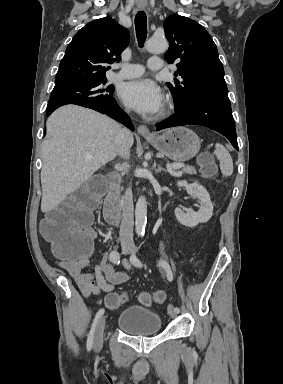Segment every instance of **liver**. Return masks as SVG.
Segmentation results:
<instances>
[{"mask_svg":"<svg viewBox=\"0 0 283 384\" xmlns=\"http://www.w3.org/2000/svg\"><path fill=\"white\" fill-rule=\"evenodd\" d=\"M42 144L41 212L54 210L101 166L118 156L115 138L119 124L80 106H62L48 118ZM133 146V136H128ZM91 154L93 158H87Z\"/></svg>","mask_w":283,"mask_h":384,"instance_id":"liver-1","label":"liver"}]
</instances>
